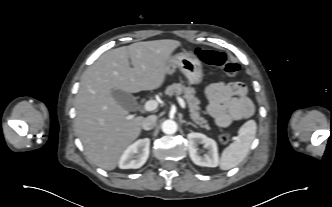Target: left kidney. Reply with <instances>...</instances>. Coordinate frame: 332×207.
<instances>
[{
	"label": "left kidney",
	"mask_w": 332,
	"mask_h": 207,
	"mask_svg": "<svg viewBox=\"0 0 332 207\" xmlns=\"http://www.w3.org/2000/svg\"><path fill=\"white\" fill-rule=\"evenodd\" d=\"M188 137V149L191 160L199 166L217 167L219 165L218 148L216 142L208 138L206 135L191 132ZM203 144L208 150L206 154L201 156L198 152V145Z\"/></svg>",
	"instance_id": "5707ae66"
}]
</instances>
